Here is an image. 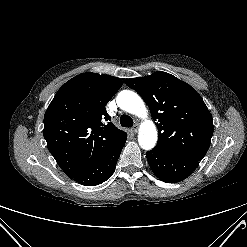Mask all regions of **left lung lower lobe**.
<instances>
[{"instance_id":"0a47b994","label":"left lung lower lobe","mask_w":247,"mask_h":247,"mask_svg":"<svg viewBox=\"0 0 247 247\" xmlns=\"http://www.w3.org/2000/svg\"><path fill=\"white\" fill-rule=\"evenodd\" d=\"M146 156L153 173L168 183L184 180L199 164V161L169 153L158 147L148 151Z\"/></svg>"}]
</instances>
